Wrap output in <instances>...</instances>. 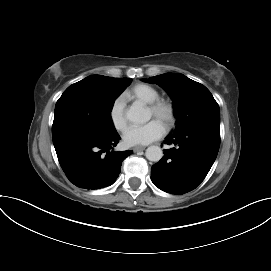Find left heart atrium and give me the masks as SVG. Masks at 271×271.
Wrapping results in <instances>:
<instances>
[{
  "label": "left heart atrium",
  "mask_w": 271,
  "mask_h": 271,
  "mask_svg": "<svg viewBox=\"0 0 271 271\" xmlns=\"http://www.w3.org/2000/svg\"><path fill=\"white\" fill-rule=\"evenodd\" d=\"M165 128L158 120L144 125H131L123 133V140L128 146L147 145L163 137Z\"/></svg>",
  "instance_id": "1"
}]
</instances>
